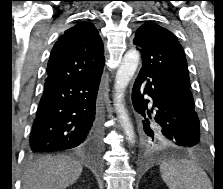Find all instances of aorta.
I'll list each match as a JSON object with an SVG mask.
<instances>
[{"instance_id":"obj_1","label":"aorta","mask_w":223,"mask_h":189,"mask_svg":"<svg viewBox=\"0 0 223 189\" xmlns=\"http://www.w3.org/2000/svg\"><path fill=\"white\" fill-rule=\"evenodd\" d=\"M140 60V54L136 50H129L123 57L122 63L117 71L115 80V106L120 118L121 125L125 132V135L129 142H133L135 137L134 128L131 120L127 114V111L123 104L124 89L129 84L131 78L134 76L138 63Z\"/></svg>"}]
</instances>
